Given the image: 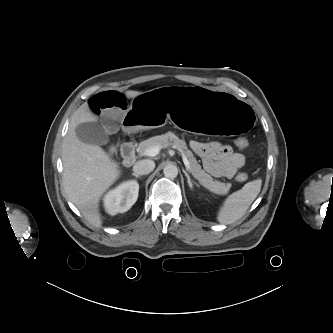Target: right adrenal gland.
Listing matches in <instances>:
<instances>
[{"label":"right adrenal gland","instance_id":"obj_1","mask_svg":"<svg viewBox=\"0 0 333 333\" xmlns=\"http://www.w3.org/2000/svg\"><path fill=\"white\" fill-rule=\"evenodd\" d=\"M133 176H135L136 178H140V176L136 173H132Z\"/></svg>","mask_w":333,"mask_h":333}]
</instances>
